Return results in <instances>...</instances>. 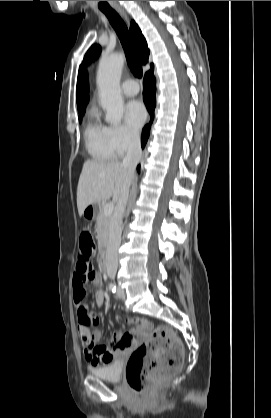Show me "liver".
<instances>
[{
    "instance_id": "6515ba94",
    "label": "liver",
    "mask_w": 271,
    "mask_h": 418,
    "mask_svg": "<svg viewBox=\"0 0 271 418\" xmlns=\"http://www.w3.org/2000/svg\"><path fill=\"white\" fill-rule=\"evenodd\" d=\"M132 178L119 161H85L77 187L79 216L83 215L84 209L90 204L100 203L111 197L114 202L118 201Z\"/></svg>"
}]
</instances>
